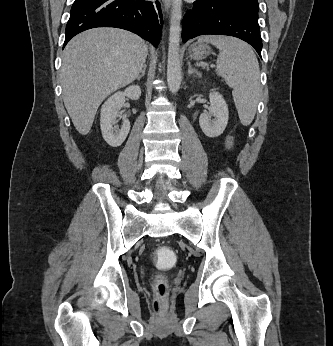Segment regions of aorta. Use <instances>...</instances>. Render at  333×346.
I'll return each instance as SVG.
<instances>
[{
    "label": "aorta",
    "instance_id": "obj_1",
    "mask_svg": "<svg viewBox=\"0 0 333 346\" xmlns=\"http://www.w3.org/2000/svg\"><path fill=\"white\" fill-rule=\"evenodd\" d=\"M182 18V0H173L170 19L169 48L167 63V82L169 90L176 93L181 84V65H180V22Z\"/></svg>",
    "mask_w": 333,
    "mask_h": 346
}]
</instances>
